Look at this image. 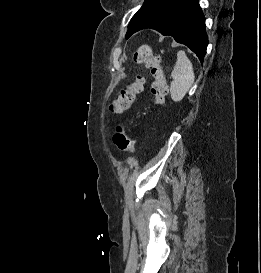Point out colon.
<instances>
[{
    "label": "colon",
    "instance_id": "obj_1",
    "mask_svg": "<svg viewBox=\"0 0 261 273\" xmlns=\"http://www.w3.org/2000/svg\"><path fill=\"white\" fill-rule=\"evenodd\" d=\"M133 59L137 64H144L150 70L153 77L151 93L154 102L158 105L162 104L166 98L168 89L160 55L155 53L150 46L141 45L134 52ZM143 87V77L137 76L134 81L120 90L110 105V110L113 113H123L127 111L133 105L137 95L142 92ZM113 142L120 151L134 152L135 150L133 138L126 133L124 127L121 125L115 129Z\"/></svg>",
    "mask_w": 261,
    "mask_h": 273
}]
</instances>
